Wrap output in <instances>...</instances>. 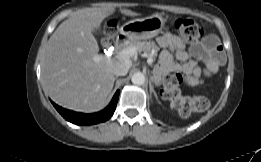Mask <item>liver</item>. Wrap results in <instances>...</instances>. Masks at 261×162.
I'll return each instance as SVG.
<instances>
[{"mask_svg":"<svg viewBox=\"0 0 261 162\" xmlns=\"http://www.w3.org/2000/svg\"><path fill=\"white\" fill-rule=\"evenodd\" d=\"M111 4L83 9L62 22L48 40L42 61L44 91L57 104L75 111L100 109L114 85V65L118 61H95L99 46L93 35L102 21L113 14ZM126 16L138 13L120 9Z\"/></svg>","mask_w":261,"mask_h":162,"instance_id":"obj_1","label":"liver"}]
</instances>
